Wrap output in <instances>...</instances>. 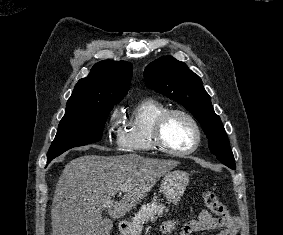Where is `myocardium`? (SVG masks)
<instances>
[{"label": "myocardium", "mask_w": 283, "mask_h": 235, "mask_svg": "<svg viewBox=\"0 0 283 235\" xmlns=\"http://www.w3.org/2000/svg\"><path fill=\"white\" fill-rule=\"evenodd\" d=\"M174 115H181L189 120V122L194 127L196 138L193 145L186 149V150H174L168 147L163 139V128L167 120L174 116ZM152 139L155 147L166 154L173 155V156H185L195 152L198 147L200 146L202 140V131L201 127L196 120V118L186 110L183 109H168L163 112L155 121L153 129H152Z\"/></svg>", "instance_id": "myocardium-1"}]
</instances>
